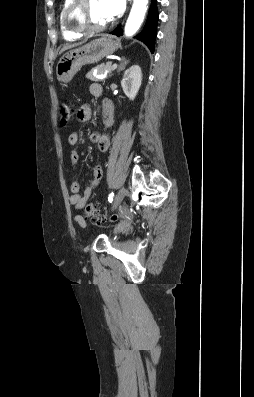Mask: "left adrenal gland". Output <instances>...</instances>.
Here are the masks:
<instances>
[{
  "mask_svg": "<svg viewBox=\"0 0 254 397\" xmlns=\"http://www.w3.org/2000/svg\"><path fill=\"white\" fill-rule=\"evenodd\" d=\"M121 60H122V62L120 63V65H119V67H118V69H117V72H118V73H119L120 71L124 70V69H125V66L129 63V60H126L125 57H122Z\"/></svg>",
  "mask_w": 254,
  "mask_h": 397,
  "instance_id": "a2214340",
  "label": "left adrenal gland"
}]
</instances>
